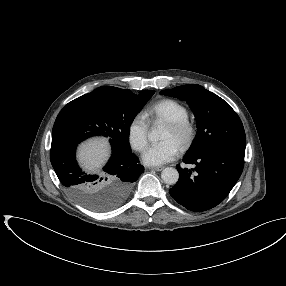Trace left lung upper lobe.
Instances as JSON below:
<instances>
[{
  "mask_svg": "<svg viewBox=\"0 0 286 286\" xmlns=\"http://www.w3.org/2000/svg\"><path fill=\"white\" fill-rule=\"evenodd\" d=\"M160 93L186 101L195 115L198 132L187 155L218 147L245 151L243 124L222 98L197 84L178 86Z\"/></svg>",
  "mask_w": 286,
  "mask_h": 286,
  "instance_id": "5c2ea615",
  "label": "left lung upper lobe"
}]
</instances>
